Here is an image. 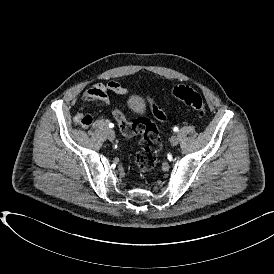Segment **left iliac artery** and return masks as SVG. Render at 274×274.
<instances>
[{
	"mask_svg": "<svg viewBox=\"0 0 274 274\" xmlns=\"http://www.w3.org/2000/svg\"><path fill=\"white\" fill-rule=\"evenodd\" d=\"M173 130H174L175 132H177L179 129H178V127H174Z\"/></svg>",
	"mask_w": 274,
	"mask_h": 274,
	"instance_id": "1",
	"label": "left iliac artery"
}]
</instances>
